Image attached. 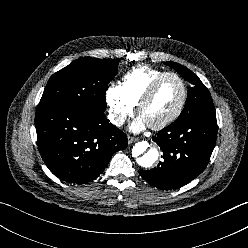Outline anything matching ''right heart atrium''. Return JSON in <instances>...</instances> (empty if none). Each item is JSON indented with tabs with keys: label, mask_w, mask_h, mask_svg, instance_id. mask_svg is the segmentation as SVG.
<instances>
[{
	"label": "right heart atrium",
	"mask_w": 248,
	"mask_h": 248,
	"mask_svg": "<svg viewBox=\"0 0 248 248\" xmlns=\"http://www.w3.org/2000/svg\"><path fill=\"white\" fill-rule=\"evenodd\" d=\"M106 102L111 121L121 126L134 113L135 105L127 98L121 86H111L106 91Z\"/></svg>",
	"instance_id": "d8ad5b80"
}]
</instances>
